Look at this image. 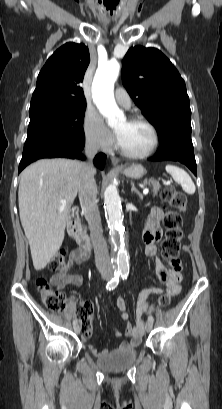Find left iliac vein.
I'll use <instances>...</instances> for the list:
<instances>
[{"label":"left iliac vein","mask_w":222,"mask_h":409,"mask_svg":"<svg viewBox=\"0 0 222 409\" xmlns=\"http://www.w3.org/2000/svg\"><path fill=\"white\" fill-rule=\"evenodd\" d=\"M145 329H146L147 332L151 331L153 329V322L147 321V323L145 325Z\"/></svg>","instance_id":"1"}]
</instances>
